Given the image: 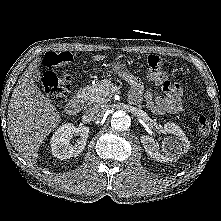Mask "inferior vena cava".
<instances>
[{"instance_id":"inferior-vena-cava-1","label":"inferior vena cava","mask_w":221,"mask_h":221,"mask_svg":"<svg viewBox=\"0 0 221 221\" xmlns=\"http://www.w3.org/2000/svg\"><path fill=\"white\" fill-rule=\"evenodd\" d=\"M107 110L108 106L105 104H94L87 109L86 116L91 121H100Z\"/></svg>"}]
</instances>
